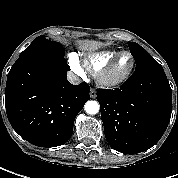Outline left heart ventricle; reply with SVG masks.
Instances as JSON below:
<instances>
[{
    "label": "left heart ventricle",
    "mask_w": 178,
    "mask_h": 178,
    "mask_svg": "<svg viewBox=\"0 0 178 178\" xmlns=\"http://www.w3.org/2000/svg\"><path fill=\"white\" fill-rule=\"evenodd\" d=\"M132 65V59L128 54L122 55L109 72L110 78H118L125 74Z\"/></svg>",
    "instance_id": "b2bd125f"
}]
</instances>
